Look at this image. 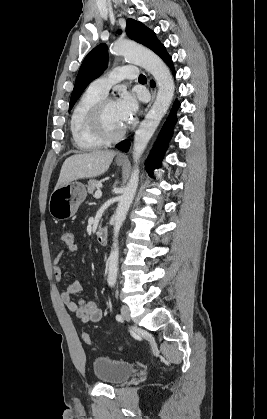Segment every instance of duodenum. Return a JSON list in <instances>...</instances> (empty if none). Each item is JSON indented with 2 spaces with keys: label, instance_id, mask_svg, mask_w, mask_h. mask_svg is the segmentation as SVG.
<instances>
[{
  "label": "duodenum",
  "instance_id": "obj_1",
  "mask_svg": "<svg viewBox=\"0 0 267 419\" xmlns=\"http://www.w3.org/2000/svg\"><path fill=\"white\" fill-rule=\"evenodd\" d=\"M96 241L99 245H106L108 241V231L106 228H100L96 233Z\"/></svg>",
  "mask_w": 267,
  "mask_h": 419
}]
</instances>
